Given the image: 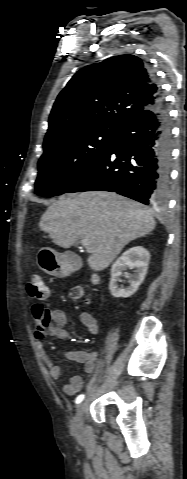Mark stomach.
I'll use <instances>...</instances> for the list:
<instances>
[{
	"label": "stomach",
	"mask_w": 187,
	"mask_h": 479,
	"mask_svg": "<svg viewBox=\"0 0 187 479\" xmlns=\"http://www.w3.org/2000/svg\"><path fill=\"white\" fill-rule=\"evenodd\" d=\"M38 266L46 273L64 277L70 273L68 261L63 254L51 248H41L37 254Z\"/></svg>",
	"instance_id": "obj_1"
}]
</instances>
